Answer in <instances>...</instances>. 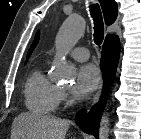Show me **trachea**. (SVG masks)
Instances as JSON below:
<instances>
[{
  "label": "trachea",
  "instance_id": "trachea-1",
  "mask_svg": "<svg viewBox=\"0 0 141 139\" xmlns=\"http://www.w3.org/2000/svg\"><path fill=\"white\" fill-rule=\"evenodd\" d=\"M90 14L94 21V42L96 45L100 46L104 39V23L98 4L90 6Z\"/></svg>",
  "mask_w": 141,
  "mask_h": 139
}]
</instances>
